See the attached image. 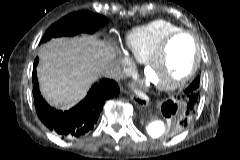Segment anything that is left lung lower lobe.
Returning a JSON list of instances; mask_svg holds the SVG:
<instances>
[{"label": "left lung lower lobe", "mask_w": 240, "mask_h": 160, "mask_svg": "<svg viewBox=\"0 0 240 160\" xmlns=\"http://www.w3.org/2000/svg\"><path fill=\"white\" fill-rule=\"evenodd\" d=\"M199 98V91H194L192 87L189 86L182 96L181 103L167 100L162 104V113L165 117L171 118L173 128L176 131H178L177 128H175L177 123H184L186 125L189 123V119L193 117L197 109Z\"/></svg>", "instance_id": "obj_1"}]
</instances>
